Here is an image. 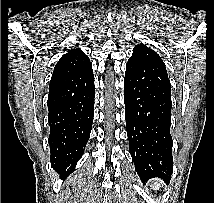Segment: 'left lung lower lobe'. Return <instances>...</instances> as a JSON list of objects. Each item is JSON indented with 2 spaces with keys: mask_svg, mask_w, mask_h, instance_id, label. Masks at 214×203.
Instances as JSON below:
<instances>
[{
  "mask_svg": "<svg viewBox=\"0 0 214 203\" xmlns=\"http://www.w3.org/2000/svg\"><path fill=\"white\" fill-rule=\"evenodd\" d=\"M124 102L129 149L141 180L173 171L171 86L161 57L152 50L133 49L126 65Z\"/></svg>",
  "mask_w": 214,
  "mask_h": 203,
  "instance_id": "obj_1",
  "label": "left lung lower lobe"
}]
</instances>
